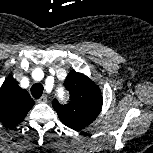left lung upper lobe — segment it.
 Segmentation results:
<instances>
[{"mask_svg":"<svg viewBox=\"0 0 153 153\" xmlns=\"http://www.w3.org/2000/svg\"><path fill=\"white\" fill-rule=\"evenodd\" d=\"M70 93V101L62 105L53 100L61 122L73 130H80L91 124L99 115L102 107V95L99 87L87 76L71 71L64 82Z\"/></svg>","mask_w":153,"mask_h":153,"instance_id":"left-lung-upper-lobe-1","label":"left lung upper lobe"}]
</instances>
